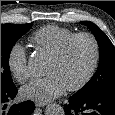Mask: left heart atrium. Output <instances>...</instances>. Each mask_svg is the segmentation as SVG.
Instances as JSON below:
<instances>
[{
	"label": "left heart atrium",
	"instance_id": "left-heart-atrium-1",
	"mask_svg": "<svg viewBox=\"0 0 115 115\" xmlns=\"http://www.w3.org/2000/svg\"><path fill=\"white\" fill-rule=\"evenodd\" d=\"M67 87L55 75L34 79L21 90L22 97L36 102L50 101L65 92Z\"/></svg>",
	"mask_w": 115,
	"mask_h": 115
}]
</instances>
